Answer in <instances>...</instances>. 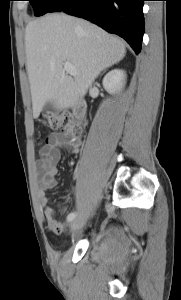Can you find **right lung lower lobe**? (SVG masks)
I'll return each mask as SVG.
<instances>
[{"label":"right lung lower lobe","instance_id":"obj_1","mask_svg":"<svg viewBox=\"0 0 181 300\" xmlns=\"http://www.w3.org/2000/svg\"><path fill=\"white\" fill-rule=\"evenodd\" d=\"M145 0H62L54 11L89 20L124 38L138 54L144 34ZM53 11V12H54Z\"/></svg>","mask_w":181,"mask_h":300}]
</instances>
